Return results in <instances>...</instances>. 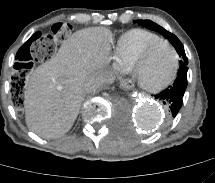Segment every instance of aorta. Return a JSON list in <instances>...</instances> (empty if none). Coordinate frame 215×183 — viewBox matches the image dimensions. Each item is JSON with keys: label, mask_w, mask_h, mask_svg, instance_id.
Wrapping results in <instances>:
<instances>
[{"label": "aorta", "mask_w": 215, "mask_h": 183, "mask_svg": "<svg viewBox=\"0 0 215 183\" xmlns=\"http://www.w3.org/2000/svg\"><path fill=\"white\" fill-rule=\"evenodd\" d=\"M122 103L127 105L126 100H122ZM133 114L136 125L146 130L158 127L164 116L162 107L152 101L139 102L133 107Z\"/></svg>", "instance_id": "762f6f07"}]
</instances>
